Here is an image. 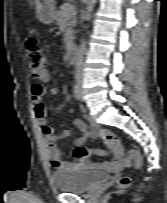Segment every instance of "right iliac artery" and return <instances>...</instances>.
I'll return each mask as SVG.
<instances>
[{"instance_id": "82829eb1", "label": "right iliac artery", "mask_w": 167, "mask_h": 203, "mask_svg": "<svg viewBox=\"0 0 167 203\" xmlns=\"http://www.w3.org/2000/svg\"><path fill=\"white\" fill-rule=\"evenodd\" d=\"M73 94H74V97H75L77 100H80V99H81V95H80V91H79L78 85H75V86H74Z\"/></svg>"}]
</instances>
